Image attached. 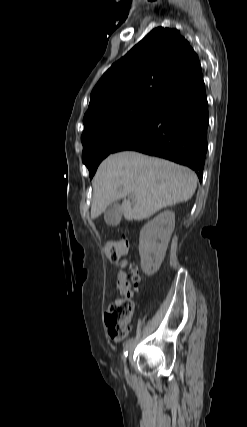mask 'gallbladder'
I'll use <instances>...</instances> for the list:
<instances>
[{
  "label": "gallbladder",
  "instance_id": "obj_1",
  "mask_svg": "<svg viewBox=\"0 0 247 427\" xmlns=\"http://www.w3.org/2000/svg\"><path fill=\"white\" fill-rule=\"evenodd\" d=\"M122 218L121 205L115 201L111 203L104 212V220L110 226H116L120 223Z\"/></svg>",
  "mask_w": 247,
  "mask_h": 427
}]
</instances>
